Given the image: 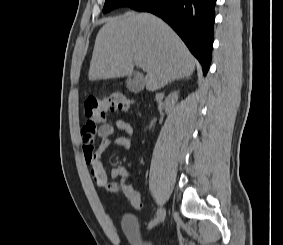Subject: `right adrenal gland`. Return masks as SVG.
Segmentation results:
<instances>
[{
    "label": "right adrenal gland",
    "instance_id": "right-adrenal-gland-1",
    "mask_svg": "<svg viewBox=\"0 0 283 245\" xmlns=\"http://www.w3.org/2000/svg\"><path fill=\"white\" fill-rule=\"evenodd\" d=\"M182 79H184V77L179 78V79H176V80H174V81H179V80H182ZM174 81L170 82V84H172Z\"/></svg>",
    "mask_w": 283,
    "mask_h": 245
}]
</instances>
